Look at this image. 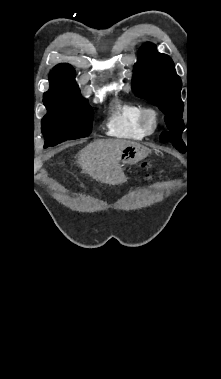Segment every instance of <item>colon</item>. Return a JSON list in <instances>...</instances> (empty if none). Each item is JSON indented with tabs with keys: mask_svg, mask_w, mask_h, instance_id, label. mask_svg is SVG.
<instances>
[{
	"mask_svg": "<svg viewBox=\"0 0 221 379\" xmlns=\"http://www.w3.org/2000/svg\"><path fill=\"white\" fill-rule=\"evenodd\" d=\"M156 175H158V172H156L155 174H147L148 178H152V179L155 178Z\"/></svg>",
	"mask_w": 221,
	"mask_h": 379,
	"instance_id": "colon-1",
	"label": "colon"
}]
</instances>
